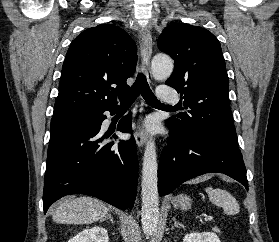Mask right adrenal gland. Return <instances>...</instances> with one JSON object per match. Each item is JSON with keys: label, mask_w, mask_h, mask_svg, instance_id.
Returning a JSON list of instances; mask_svg holds the SVG:
<instances>
[{"label": "right adrenal gland", "mask_w": 279, "mask_h": 242, "mask_svg": "<svg viewBox=\"0 0 279 242\" xmlns=\"http://www.w3.org/2000/svg\"><path fill=\"white\" fill-rule=\"evenodd\" d=\"M106 219H109L111 221V223H115L111 214H107V217L104 220H106Z\"/></svg>", "instance_id": "1"}]
</instances>
